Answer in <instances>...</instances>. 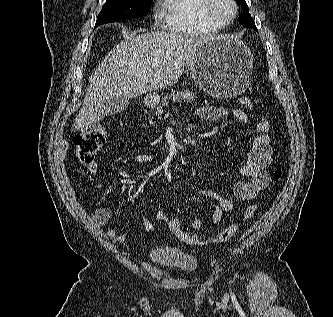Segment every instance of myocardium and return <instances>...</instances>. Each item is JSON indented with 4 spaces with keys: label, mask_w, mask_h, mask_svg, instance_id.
I'll return each mask as SVG.
<instances>
[{
    "label": "myocardium",
    "mask_w": 333,
    "mask_h": 317,
    "mask_svg": "<svg viewBox=\"0 0 333 317\" xmlns=\"http://www.w3.org/2000/svg\"><path fill=\"white\" fill-rule=\"evenodd\" d=\"M202 1H203L202 2V13H203L204 17L207 20H209L210 22H212L213 24L221 26L223 28L230 25L238 14V5H237L236 0H228V2L232 6V13L226 19L220 18L215 12V4H216L217 0H202Z\"/></svg>",
    "instance_id": "1"
}]
</instances>
